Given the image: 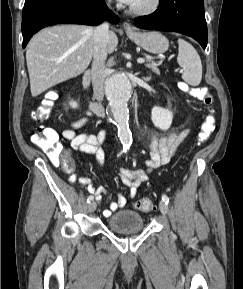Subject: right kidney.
Returning a JSON list of instances; mask_svg holds the SVG:
<instances>
[{
  "label": "right kidney",
  "instance_id": "ca27d5eb",
  "mask_svg": "<svg viewBox=\"0 0 243 289\" xmlns=\"http://www.w3.org/2000/svg\"><path fill=\"white\" fill-rule=\"evenodd\" d=\"M70 106H71L72 108H77V107H78V104H77V102H75V101H71V102H70Z\"/></svg>",
  "mask_w": 243,
  "mask_h": 289
}]
</instances>
